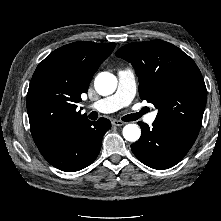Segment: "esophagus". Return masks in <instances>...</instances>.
I'll return each instance as SVG.
<instances>
[{"mask_svg": "<svg viewBox=\"0 0 221 221\" xmlns=\"http://www.w3.org/2000/svg\"><path fill=\"white\" fill-rule=\"evenodd\" d=\"M112 125H114V126H123V125H125V122L120 121V120H113Z\"/></svg>", "mask_w": 221, "mask_h": 221, "instance_id": "1", "label": "esophagus"}]
</instances>
